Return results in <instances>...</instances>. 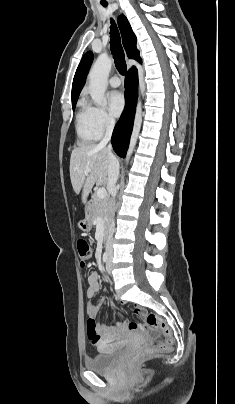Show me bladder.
<instances>
[{
    "label": "bladder",
    "mask_w": 235,
    "mask_h": 404,
    "mask_svg": "<svg viewBox=\"0 0 235 404\" xmlns=\"http://www.w3.org/2000/svg\"><path fill=\"white\" fill-rule=\"evenodd\" d=\"M98 354L85 360V366L96 373L109 372L120 357L123 349L120 345L100 347Z\"/></svg>",
    "instance_id": "31cf9c89"
}]
</instances>
